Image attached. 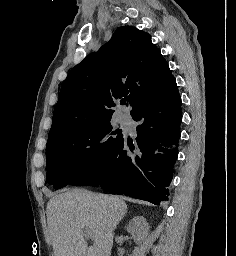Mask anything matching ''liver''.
I'll return each instance as SVG.
<instances>
[{"mask_svg":"<svg viewBox=\"0 0 236 256\" xmlns=\"http://www.w3.org/2000/svg\"><path fill=\"white\" fill-rule=\"evenodd\" d=\"M61 192L51 196L46 208L54 256H111L114 230L127 212L125 202L88 190ZM83 228L90 230L89 248Z\"/></svg>","mask_w":236,"mask_h":256,"instance_id":"6515ba94","label":"liver"}]
</instances>
